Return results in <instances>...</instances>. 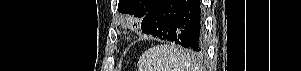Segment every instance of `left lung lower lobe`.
I'll return each mask as SVG.
<instances>
[{"label":"left lung lower lobe","instance_id":"1","mask_svg":"<svg viewBox=\"0 0 301 71\" xmlns=\"http://www.w3.org/2000/svg\"><path fill=\"white\" fill-rule=\"evenodd\" d=\"M142 32L193 51L204 44L200 0H158L141 23Z\"/></svg>","mask_w":301,"mask_h":71}]
</instances>
